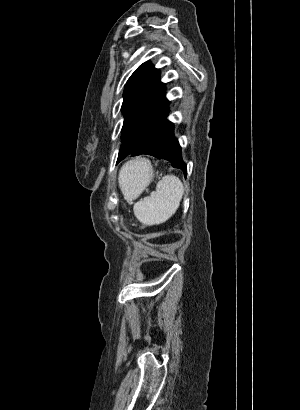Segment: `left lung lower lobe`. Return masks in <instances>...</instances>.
Wrapping results in <instances>:
<instances>
[{
    "mask_svg": "<svg viewBox=\"0 0 300 410\" xmlns=\"http://www.w3.org/2000/svg\"><path fill=\"white\" fill-rule=\"evenodd\" d=\"M173 126L172 122L165 119L149 139L132 153V156L147 154L168 160L172 167L181 169L186 175L187 167L182 160L181 147L174 136Z\"/></svg>",
    "mask_w": 300,
    "mask_h": 410,
    "instance_id": "0a47b994",
    "label": "left lung lower lobe"
}]
</instances>
